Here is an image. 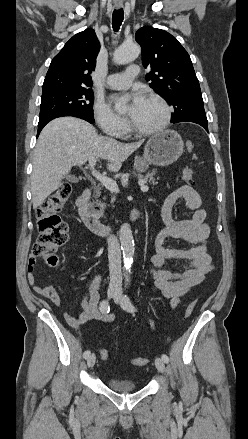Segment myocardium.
Here are the masks:
<instances>
[{
    "label": "myocardium",
    "instance_id": "f54148a6",
    "mask_svg": "<svg viewBox=\"0 0 248 439\" xmlns=\"http://www.w3.org/2000/svg\"><path fill=\"white\" fill-rule=\"evenodd\" d=\"M146 99L157 102L163 108L164 118L159 125H157L156 127L150 128V129L139 128L130 119L129 120L130 130L133 133L140 135V136H150V135H153V134H156V133H159V132L165 130L169 126L171 119H172V108L166 102L165 99H163L161 96H159L157 94H149L146 96Z\"/></svg>",
    "mask_w": 248,
    "mask_h": 439
}]
</instances>
